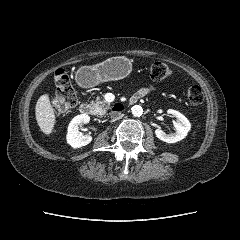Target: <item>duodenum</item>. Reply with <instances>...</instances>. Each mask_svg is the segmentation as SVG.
Here are the masks:
<instances>
[{
	"label": "duodenum",
	"instance_id": "duodenum-1",
	"mask_svg": "<svg viewBox=\"0 0 240 240\" xmlns=\"http://www.w3.org/2000/svg\"><path fill=\"white\" fill-rule=\"evenodd\" d=\"M141 98L140 95H138L137 93L134 94L130 100H129V104L132 105V104H135L136 102L139 101V99ZM117 107L119 108V110H123L124 106L122 104H119L117 105ZM80 111L81 113L85 114V115H90L92 114L93 110H92V107L90 104L88 103H82L80 105Z\"/></svg>",
	"mask_w": 240,
	"mask_h": 240
}]
</instances>
